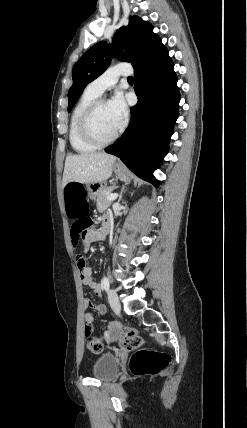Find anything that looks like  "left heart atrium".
Segmentation results:
<instances>
[{
    "mask_svg": "<svg viewBox=\"0 0 247 428\" xmlns=\"http://www.w3.org/2000/svg\"><path fill=\"white\" fill-rule=\"evenodd\" d=\"M108 112L118 128H121L127 119V106L123 96L118 93L107 102Z\"/></svg>",
    "mask_w": 247,
    "mask_h": 428,
    "instance_id": "obj_1",
    "label": "left heart atrium"
}]
</instances>
